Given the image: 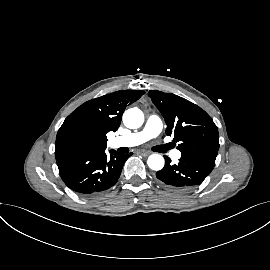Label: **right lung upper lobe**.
Instances as JSON below:
<instances>
[{"label": "right lung upper lobe", "mask_w": 270, "mask_h": 270, "mask_svg": "<svg viewBox=\"0 0 270 270\" xmlns=\"http://www.w3.org/2000/svg\"><path fill=\"white\" fill-rule=\"evenodd\" d=\"M144 93L143 90H119L82 104L60 127L55 156L88 148H106V134L119 128L127 105Z\"/></svg>", "instance_id": "obj_1"}]
</instances>
